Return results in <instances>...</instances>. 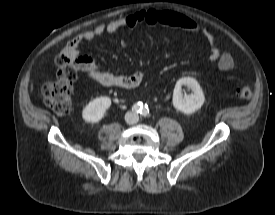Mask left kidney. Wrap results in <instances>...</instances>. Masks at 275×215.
<instances>
[{
  "mask_svg": "<svg viewBox=\"0 0 275 215\" xmlns=\"http://www.w3.org/2000/svg\"><path fill=\"white\" fill-rule=\"evenodd\" d=\"M185 85L193 91L187 95L182 93V86ZM205 101L203 91L196 79L192 77L180 78L173 91V106L184 114H192L201 108Z\"/></svg>",
  "mask_w": 275,
  "mask_h": 215,
  "instance_id": "1",
  "label": "left kidney"
}]
</instances>
